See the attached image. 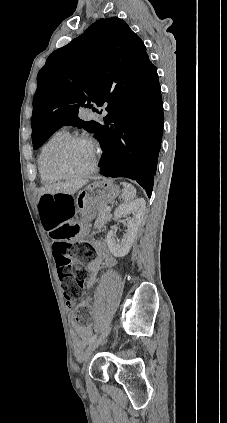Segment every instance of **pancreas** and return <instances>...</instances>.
Returning <instances> with one entry per match:
<instances>
[{
	"instance_id": "obj_1",
	"label": "pancreas",
	"mask_w": 227,
	"mask_h": 423,
	"mask_svg": "<svg viewBox=\"0 0 227 423\" xmlns=\"http://www.w3.org/2000/svg\"><path fill=\"white\" fill-rule=\"evenodd\" d=\"M107 206H99V208H97L98 210V217L94 223V227H102V225H104V223H106L107 219H108V211H106Z\"/></svg>"
}]
</instances>
